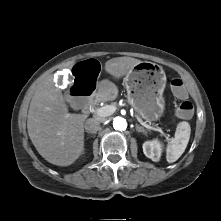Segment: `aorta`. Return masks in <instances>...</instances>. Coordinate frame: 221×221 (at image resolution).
Here are the masks:
<instances>
[{
  "instance_id": "1",
  "label": "aorta",
  "mask_w": 221,
  "mask_h": 221,
  "mask_svg": "<svg viewBox=\"0 0 221 221\" xmlns=\"http://www.w3.org/2000/svg\"><path fill=\"white\" fill-rule=\"evenodd\" d=\"M113 127L116 130L124 131L127 128V122L122 117H115L113 120Z\"/></svg>"
}]
</instances>
